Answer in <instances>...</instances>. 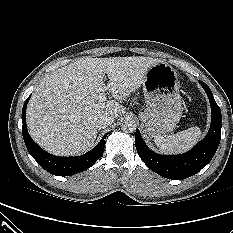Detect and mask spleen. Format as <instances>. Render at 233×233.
<instances>
[{
    "instance_id": "spleen-1",
    "label": "spleen",
    "mask_w": 233,
    "mask_h": 233,
    "mask_svg": "<svg viewBox=\"0 0 233 233\" xmlns=\"http://www.w3.org/2000/svg\"><path fill=\"white\" fill-rule=\"evenodd\" d=\"M199 127H191L173 135L154 136V142L167 154H180L190 150L201 138Z\"/></svg>"
}]
</instances>
